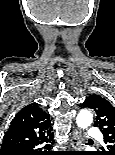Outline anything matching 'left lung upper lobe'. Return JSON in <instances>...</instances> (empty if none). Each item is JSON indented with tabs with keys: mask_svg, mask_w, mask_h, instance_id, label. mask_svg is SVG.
Returning <instances> with one entry per match:
<instances>
[{
	"mask_svg": "<svg viewBox=\"0 0 115 155\" xmlns=\"http://www.w3.org/2000/svg\"><path fill=\"white\" fill-rule=\"evenodd\" d=\"M83 107L96 112L95 126L101 129L104 136L106 147L96 155H115V107L99 95H90Z\"/></svg>",
	"mask_w": 115,
	"mask_h": 155,
	"instance_id": "5c2ea615",
	"label": "left lung upper lobe"
}]
</instances>
